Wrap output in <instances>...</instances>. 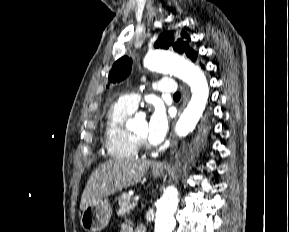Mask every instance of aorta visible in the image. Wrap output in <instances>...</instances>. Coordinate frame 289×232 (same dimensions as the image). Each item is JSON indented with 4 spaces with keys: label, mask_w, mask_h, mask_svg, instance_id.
<instances>
[{
    "label": "aorta",
    "mask_w": 289,
    "mask_h": 232,
    "mask_svg": "<svg viewBox=\"0 0 289 232\" xmlns=\"http://www.w3.org/2000/svg\"><path fill=\"white\" fill-rule=\"evenodd\" d=\"M144 65L152 71L174 74L190 86L191 100L175 128L178 136H186L196 127L208 101L209 86L204 73L191 62L176 58L162 50L149 52L144 59ZM177 205V189L167 188L156 204L155 232L174 230L176 224L174 213Z\"/></svg>",
    "instance_id": "aorta-1"
}]
</instances>
